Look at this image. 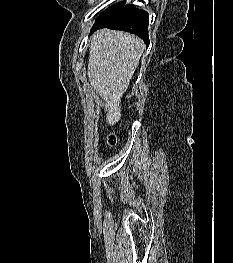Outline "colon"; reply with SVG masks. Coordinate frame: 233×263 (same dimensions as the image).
<instances>
[{"label":"colon","mask_w":233,"mask_h":263,"mask_svg":"<svg viewBox=\"0 0 233 263\" xmlns=\"http://www.w3.org/2000/svg\"><path fill=\"white\" fill-rule=\"evenodd\" d=\"M116 142H117L116 136L113 134L109 135V137H108L109 146H114L116 144Z\"/></svg>","instance_id":"colon-1"}]
</instances>
